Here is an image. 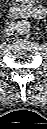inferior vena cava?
Wrapping results in <instances>:
<instances>
[{"mask_svg":"<svg viewBox=\"0 0 47 129\" xmlns=\"http://www.w3.org/2000/svg\"><path fill=\"white\" fill-rule=\"evenodd\" d=\"M12 33H13V27H8V28L6 29V35L9 36V35H11Z\"/></svg>","mask_w":47,"mask_h":129,"instance_id":"obj_1","label":"inferior vena cava"}]
</instances>
